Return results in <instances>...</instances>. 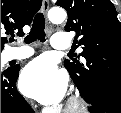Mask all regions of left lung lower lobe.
Wrapping results in <instances>:
<instances>
[{
    "label": "left lung lower lobe",
    "mask_w": 121,
    "mask_h": 113,
    "mask_svg": "<svg viewBox=\"0 0 121 113\" xmlns=\"http://www.w3.org/2000/svg\"><path fill=\"white\" fill-rule=\"evenodd\" d=\"M80 95L91 103L92 107L89 110L92 113H121V100L107 93L92 90Z\"/></svg>",
    "instance_id": "1"
}]
</instances>
